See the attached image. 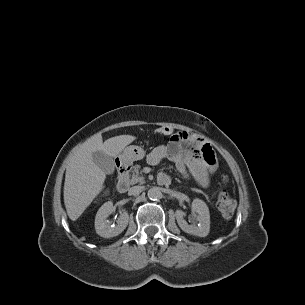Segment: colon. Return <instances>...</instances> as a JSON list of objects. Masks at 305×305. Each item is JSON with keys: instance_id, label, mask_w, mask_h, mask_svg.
<instances>
[{"instance_id": "obj_1", "label": "colon", "mask_w": 305, "mask_h": 305, "mask_svg": "<svg viewBox=\"0 0 305 305\" xmlns=\"http://www.w3.org/2000/svg\"><path fill=\"white\" fill-rule=\"evenodd\" d=\"M158 133L168 135L173 133L170 127H161L157 130ZM236 200L226 191H222L217 200V208L226 217L232 216L236 209Z\"/></svg>"}]
</instances>
